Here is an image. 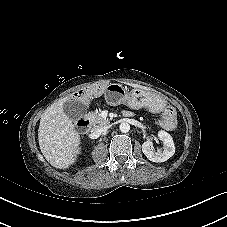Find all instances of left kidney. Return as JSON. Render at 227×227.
Wrapping results in <instances>:
<instances>
[{
    "label": "left kidney",
    "mask_w": 227,
    "mask_h": 227,
    "mask_svg": "<svg viewBox=\"0 0 227 227\" xmlns=\"http://www.w3.org/2000/svg\"><path fill=\"white\" fill-rule=\"evenodd\" d=\"M158 138L163 142V150L155 152L153 150L152 139L148 138L142 144V151L144 155L152 162H164L172 157L175 153V145L171 135L165 131L158 132Z\"/></svg>",
    "instance_id": "5707ae66"
}]
</instances>
